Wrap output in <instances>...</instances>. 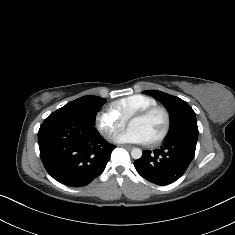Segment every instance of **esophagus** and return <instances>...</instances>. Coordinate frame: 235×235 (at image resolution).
I'll return each instance as SVG.
<instances>
[{
    "label": "esophagus",
    "instance_id": "obj_1",
    "mask_svg": "<svg viewBox=\"0 0 235 235\" xmlns=\"http://www.w3.org/2000/svg\"><path fill=\"white\" fill-rule=\"evenodd\" d=\"M119 147L126 148L128 150L132 149L133 146L128 145V144H120Z\"/></svg>",
    "mask_w": 235,
    "mask_h": 235
}]
</instances>
